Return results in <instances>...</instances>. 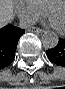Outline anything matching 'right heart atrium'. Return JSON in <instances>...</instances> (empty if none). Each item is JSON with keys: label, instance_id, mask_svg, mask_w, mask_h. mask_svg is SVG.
Listing matches in <instances>:
<instances>
[{"label": "right heart atrium", "instance_id": "1", "mask_svg": "<svg viewBox=\"0 0 65 89\" xmlns=\"http://www.w3.org/2000/svg\"><path fill=\"white\" fill-rule=\"evenodd\" d=\"M14 8L21 21L26 25L35 23L46 11L34 0H16Z\"/></svg>", "mask_w": 65, "mask_h": 89}]
</instances>
